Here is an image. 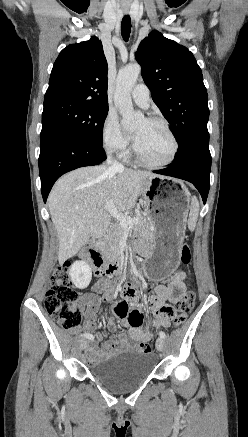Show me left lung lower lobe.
<instances>
[{"mask_svg": "<svg viewBox=\"0 0 248 437\" xmlns=\"http://www.w3.org/2000/svg\"><path fill=\"white\" fill-rule=\"evenodd\" d=\"M210 169L209 133H203L196 136L184 151L177 153L169 167L154 173L191 182L205 204L210 187Z\"/></svg>", "mask_w": 248, "mask_h": 437, "instance_id": "1", "label": "left lung lower lobe"}]
</instances>
